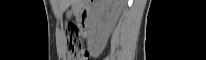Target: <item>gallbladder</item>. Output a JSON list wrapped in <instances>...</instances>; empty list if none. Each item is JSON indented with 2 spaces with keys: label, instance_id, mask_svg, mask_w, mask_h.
<instances>
[{
  "label": "gallbladder",
  "instance_id": "bac80fb5",
  "mask_svg": "<svg viewBox=\"0 0 206 60\" xmlns=\"http://www.w3.org/2000/svg\"><path fill=\"white\" fill-rule=\"evenodd\" d=\"M73 12L72 11H68L67 12V18H70L72 16Z\"/></svg>",
  "mask_w": 206,
  "mask_h": 60
}]
</instances>
